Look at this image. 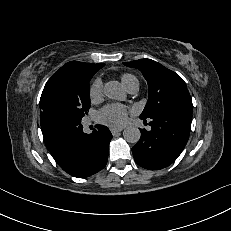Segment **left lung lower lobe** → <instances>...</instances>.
<instances>
[{"label": "left lung lower lobe", "instance_id": "left-lung-lower-lobe-1", "mask_svg": "<svg viewBox=\"0 0 231 231\" xmlns=\"http://www.w3.org/2000/svg\"><path fill=\"white\" fill-rule=\"evenodd\" d=\"M150 119L152 129H140L141 138L132 147V153L141 167L158 170L172 164L183 151L189 138L192 112L167 109Z\"/></svg>", "mask_w": 231, "mask_h": 231}]
</instances>
